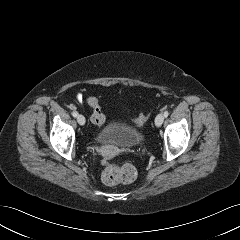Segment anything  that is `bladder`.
I'll return each instance as SVG.
<instances>
[{
	"label": "bladder",
	"mask_w": 240,
	"mask_h": 240,
	"mask_svg": "<svg viewBox=\"0 0 240 240\" xmlns=\"http://www.w3.org/2000/svg\"><path fill=\"white\" fill-rule=\"evenodd\" d=\"M143 139L141 131L120 122L110 123L99 135L100 142L124 148L137 146Z\"/></svg>",
	"instance_id": "obj_1"
}]
</instances>
